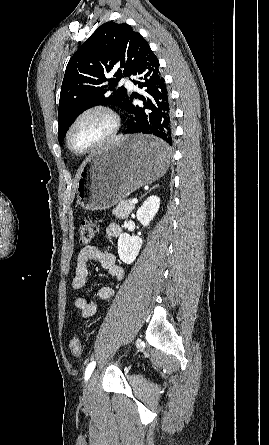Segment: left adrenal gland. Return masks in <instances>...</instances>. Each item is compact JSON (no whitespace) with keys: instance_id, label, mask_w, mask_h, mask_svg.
I'll return each instance as SVG.
<instances>
[{"instance_id":"left-adrenal-gland-1","label":"left adrenal gland","mask_w":269,"mask_h":445,"mask_svg":"<svg viewBox=\"0 0 269 445\" xmlns=\"http://www.w3.org/2000/svg\"><path fill=\"white\" fill-rule=\"evenodd\" d=\"M157 187H158V185L152 187V188H151L148 192H146L143 196H145L147 193L151 192L153 189H155V188H157Z\"/></svg>"}]
</instances>
